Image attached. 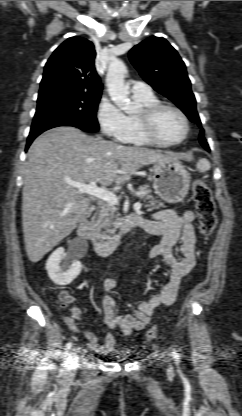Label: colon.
<instances>
[{"label": "colon", "mask_w": 242, "mask_h": 416, "mask_svg": "<svg viewBox=\"0 0 242 416\" xmlns=\"http://www.w3.org/2000/svg\"><path fill=\"white\" fill-rule=\"evenodd\" d=\"M193 199L199 217L198 229L202 237H208L215 229L217 224L216 205L212 197V192L208 184L203 180H196L193 185ZM60 300L67 304L70 300L65 293L60 294ZM123 333V331L121 330ZM157 329L151 328L146 332V338L153 340L156 337Z\"/></svg>", "instance_id": "obj_1"}]
</instances>
